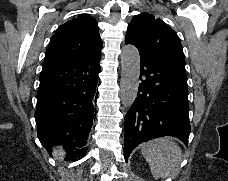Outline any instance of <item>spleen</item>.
<instances>
[{"label": "spleen", "instance_id": "3e777b00", "mask_svg": "<svg viewBox=\"0 0 228 181\" xmlns=\"http://www.w3.org/2000/svg\"><path fill=\"white\" fill-rule=\"evenodd\" d=\"M142 155L149 163L154 179H175L179 173L182 151L170 137L143 143Z\"/></svg>", "mask_w": 228, "mask_h": 181}]
</instances>
